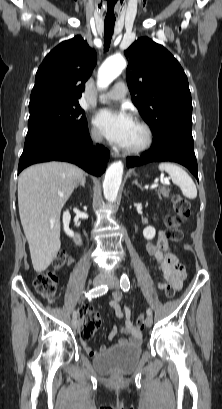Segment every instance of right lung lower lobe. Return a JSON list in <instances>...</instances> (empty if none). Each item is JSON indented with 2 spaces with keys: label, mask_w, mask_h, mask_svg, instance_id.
<instances>
[{
  "label": "right lung lower lobe",
  "mask_w": 222,
  "mask_h": 409,
  "mask_svg": "<svg viewBox=\"0 0 222 409\" xmlns=\"http://www.w3.org/2000/svg\"><path fill=\"white\" fill-rule=\"evenodd\" d=\"M109 156L110 153L104 146H92L87 130L73 146L43 142L24 149L19 160L18 173L34 163L57 160L74 163L87 172L100 176L106 169Z\"/></svg>",
  "instance_id": "obj_1"
}]
</instances>
